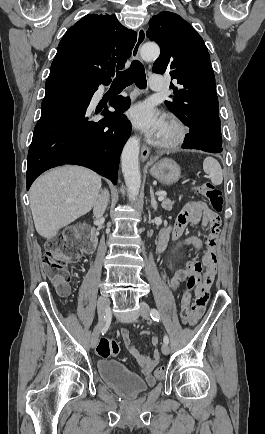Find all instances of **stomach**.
<instances>
[{
    "label": "stomach",
    "instance_id": "stomach-1",
    "mask_svg": "<svg viewBox=\"0 0 265 434\" xmlns=\"http://www.w3.org/2000/svg\"><path fill=\"white\" fill-rule=\"evenodd\" d=\"M151 176L156 178L161 184H175L178 182L181 174L180 166L171 160V158H163L157 164H154L150 170Z\"/></svg>",
    "mask_w": 265,
    "mask_h": 434
}]
</instances>
